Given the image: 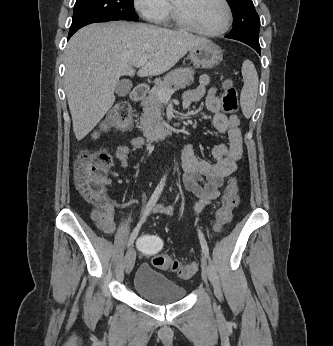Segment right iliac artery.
<instances>
[{
    "label": "right iliac artery",
    "mask_w": 333,
    "mask_h": 346,
    "mask_svg": "<svg viewBox=\"0 0 333 346\" xmlns=\"http://www.w3.org/2000/svg\"><path fill=\"white\" fill-rule=\"evenodd\" d=\"M165 181H166V176L164 175L163 178L160 180L159 184L157 185V187L155 188L151 198L149 199V201L145 207L143 216L141 217L139 223L137 224V226L135 227V229L131 233L128 244H127V248H130L133 245V243H134V241L138 235V232L141 228V225L145 222L146 217L149 215L152 207L155 205V203L159 199V197L163 191V188L165 186Z\"/></svg>",
    "instance_id": "1"
}]
</instances>
